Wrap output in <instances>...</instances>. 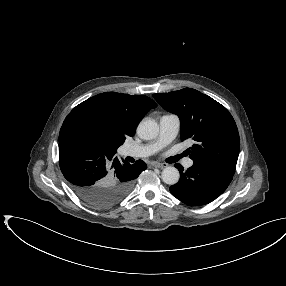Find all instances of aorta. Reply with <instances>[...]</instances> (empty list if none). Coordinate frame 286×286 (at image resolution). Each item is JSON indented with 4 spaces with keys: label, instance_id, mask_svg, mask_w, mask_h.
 Wrapping results in <instances>:
<instances>
[{
    "label": "aorta",
    "instance_id": "aorta-1",
    "mask_svg": "<svg viewBox=\"0 0 286 286\" xmlns=\"http://www.w3.org/2000/svg\"><path fill=\"white\" fill-rule=\"evenodd\" d=\"M138 135L145 140H151L158 136L159 126L153 119H143L137 127ZM162 180L168 185H174L179 181L180 174L177 168L168 166L162 171Z\"/></svg>",
    "mask_w": 286,
    "mask_h": 286
}]
</instances>
